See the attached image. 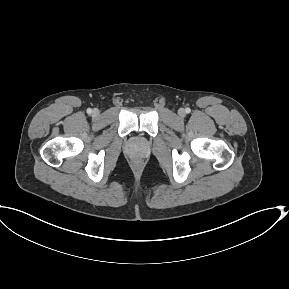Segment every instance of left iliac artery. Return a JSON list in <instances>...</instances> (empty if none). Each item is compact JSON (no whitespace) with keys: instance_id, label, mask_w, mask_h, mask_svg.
<instances>
[{"instance_id":"1","label":"left iliac artery","mask_w":289,"mask_h":289,"mask_svg":"<svg viewBox=\"0 0 289 289\" xmlns=\"http://www.w3.org/2000/svg\"><path fill=\"white\" fill-rule=\"evenodd\" d=\"M185 112H186V113H190V112H191V109H190V108H186V109H185Z\"/></svg>"}]
</instances>
